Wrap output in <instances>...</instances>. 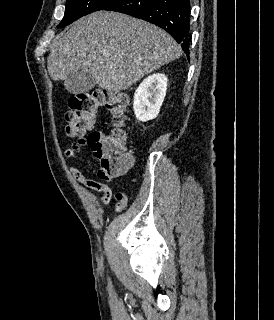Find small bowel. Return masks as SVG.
Returning <instances> with one entry per match:
<instances>
[{
    "instance_id": "obj_1",
    "label": "small bowel",
    "mask_w": 274,
    "mask_h": 320,
    "mask_svg": "<svg viewBox=\"0 0 274 320\" xmlns=\"http://www.w3.org/2000/svg\"><path fill=\"white\" fill-rule=\"evenodd\" d=\"M87 124H88V129L90 131H93L95 129L96 121H95V119H88ZM86 145H89V141L87 138L80 137V138L76 139L64 151L65 158L69 161L76 159L82 153V148ZM94 153L99 158L103 157V154L100 151L94 150ZM128 161H134L132 155H130V154L128 156ZM129 169L130 168H123L122 174L126 173ZM69 172L72 175V177L78 183H80L84 188L90 190L91 192L102 194V196L99 199V202L101 205H106L111 201V199L113 197V192L107 184L100 182V181H96V180L87 178L77 167H75L73 165L69 166ZM98 177L102 180H105L106 175H105L104 171L100 170L98 172ZM116 201L117 202H116L114 211L120 212L127 206L128 197H116Z\"/></svg>"
}]
</instances>
